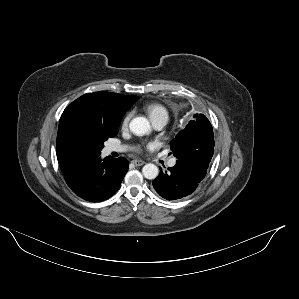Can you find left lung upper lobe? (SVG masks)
Instances as JSON below:
<instances>
[{
    "mask_svg": "<svg viewBox=\"0 0 299 299\" xmlns=\"http://www.w3.org/2000/svg\"><path fill=\"white\" fill-rule=\"evenodd\" d=\"M170 148L179 161L208 169L214 153V134L206 116L195 114L194 119L171 141Z\"/></svg>",
    "mask_w": 299,
    "mask_h": 299,
    "instance_id": "obj_1",
    "label": "left lung upper lobe"
}]
</instances>
